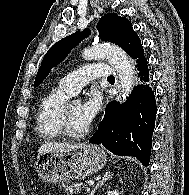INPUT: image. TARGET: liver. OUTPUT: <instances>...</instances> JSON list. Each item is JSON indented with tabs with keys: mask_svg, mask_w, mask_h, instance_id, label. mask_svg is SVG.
Segmentation results:
<instances>
[{
	"mask_svg": "<svg viewBox=\"0 0 189 195\" xmlns=\"http://www.w3.org/2000/svg\"><path fill=\"white\" fill-rule=\"evenodd\" d=\"M85 144H67V143H58V142H44L38 149V158L51 151L58 150H71L76 148H81Z\"/></svg>",
	"mask_w": 189,
	"mask_h": 195,
	"instance_id": "6515ba94",
	"label": "liver"
}]
</instances>
